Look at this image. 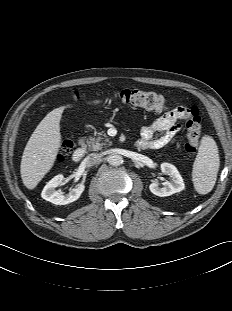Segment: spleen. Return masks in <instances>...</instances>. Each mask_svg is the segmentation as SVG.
Returning <instances> with one entry per match:
<instances>
[{
    "instance_id": "obj_1",
    "label": "spleen",
    "mask_w": 232,
    "mask_h": 311,
    "mask_svg": "<svg viewBox=\"0 0 232 311\" xmlns=\"http://www.w3.org/2000/svg\"><path fill=\"white\" fill-rule=\"evenodd\" d=\"M218 147L211 136H203L192 170L195 190L202 195L213 189L219 171Z\"/></svg>"
}]
</instances>
